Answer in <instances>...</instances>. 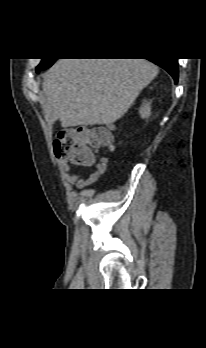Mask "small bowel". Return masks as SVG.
<instances>
[{"label":"small bowel","mask_w":206,"mask_h":348,"mask_svg":"<svg viewBox=\"0 0 206 348\" xmlns=\"http://www.w3.org/2000/svg\"><path fill=\"white\" fill-rule=\"evenodd\" d=\"M60 166L64 171V175L67 181L79 189L85 188L96 183L99 180V178L103 176L106 172L105 161H100L98 163L94 162L90 164L89 166H94V170L86 178H83L78 174L71 173L69 164L64 160L60 161Z\"/></svg>","instance_id":"1"}]
</instances>
